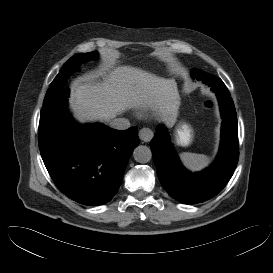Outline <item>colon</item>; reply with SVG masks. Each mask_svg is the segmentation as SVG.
<instances>
[{"mask_svg":"<svg viewBox=\"0 0 273 273\" xmlns=\"http://www.w3.org/2000/svg\"><path fill=\"white\" fill-rule=\"evenodd\" d=\"M203 106H204L206 109L210 110V109L213 108V101L210 100V99H208V100L204 101Z\"/></svg>","mask_w":273,"mask_h":273,"instance_id":"colon-1","label":"colon"}]
</instances>
